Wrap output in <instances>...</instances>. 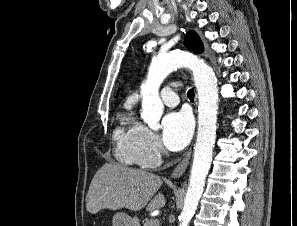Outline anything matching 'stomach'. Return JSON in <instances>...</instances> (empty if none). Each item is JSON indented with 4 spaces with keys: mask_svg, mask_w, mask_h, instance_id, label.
<instances>
[{
    "mask_svg": "<svg viewBox=\"0 0 297 226\" xmlns=\"http://www.w3.org/2000/svg\"><path fill=\"white\" fill-rule=\"evenodd\" d=\"M113 226H139V222L135 217L118 212L113 217Z\"/></svg>",
    "mask_w": 297,
    "mask_h": 226,
    "instance_id": "obj_1",
    "label": "stomach"
}]
</instances>
